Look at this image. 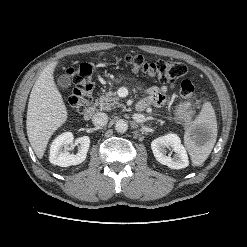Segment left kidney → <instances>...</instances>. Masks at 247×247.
<instances>
[{
    "instance_id": "obj_1",
    "label": "left kidney",
    "mask_w": 247,
    "mask_h": 247,
    "mask_svg": "<svg viewBox=\"0 0 247 247\" xmlns=\"http://www.w3.org/2000/svg\"><path fill=\"white\" fill-rule=\"evenodd\" d=\"M166 148L174 151L175 155L171 157V153L167 154ZM151 149L156 160L171 169H182L189 165L186 149L176 134L169 133L156 138L151 142Z\"/></svg>"
}]
</instances>
